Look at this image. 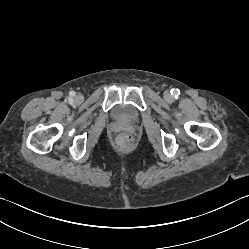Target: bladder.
I'll list each match as a JSON object with an SVG mask.
<instances>
[{
    "mask_svg": "<svg viewBox=\"0 0 249 249\" xmlns=\"http://www.w3.org/2000/svg\"><path fill=\"white\" fill-rule=\"evenodd\" d=\"M114 118L121 122H135L139 119V112L129 104H118L113 108Z\"/></svg>",
    "mask_w": 249,
    "mask_h": 249,
    "instance_id": "1",
    "label": "bladder"
}]
</instances>
